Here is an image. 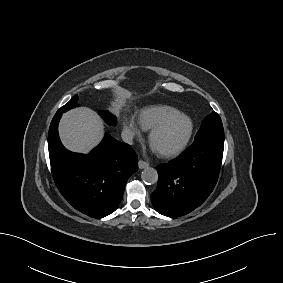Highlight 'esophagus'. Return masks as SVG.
<instances>
[{"label":"esophagus","instance_id":"esophagus-1","mask_svg":"<svg viewBox=\"0 0 283 283\" xmlns=\"http://www.w3.org/2000/svg\"><path fill=\"white\" fill-rule=\"evenodd\" d=\"M138 166H139L140 169H143V168L148 167L149 164L147 162L143 161V160H139Z\"/></svg>","mask_w":283,"mask_h":283}]
</instances>
